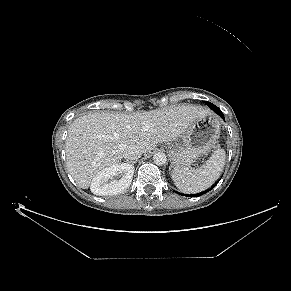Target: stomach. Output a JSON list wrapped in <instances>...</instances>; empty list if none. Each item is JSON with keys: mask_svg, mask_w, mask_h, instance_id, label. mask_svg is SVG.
<instances>
[{"mask_svg": "<svg viewBox=\"0 0 291 291\" xmlns=\"http://www.w3.org/2000/svg\"><path fill=\"white\" fill-rule=\"evenodd\" d=\"M219 135L220 123L214 115L209 114L197 119L170 147L172 166L174 168L190 166L216 146Z\"/></svg>", "mask_w": 291, "mask_h": 291, "instance_id": "1", "label": "stomach"}]
</instances>
